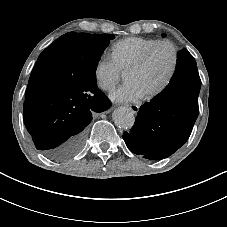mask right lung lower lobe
<instances>
[{"instance_id": "obj_1", "label": "right lung lower lobe", "mask_w": 227, "mask_h": 227, "mask_svg": "<svg viewBox=\"0 0 227 227\" xmlns=\"http://www.w3.org/2000/svg\"><path fill=\"white\" fill-rule=\"evenodd\" d=\"M110 106L97 84L76 89L46 84L25 98L23 117L36 148L51 160H65L82 148L92 115Z\"/></svg>"}]
</instances>
